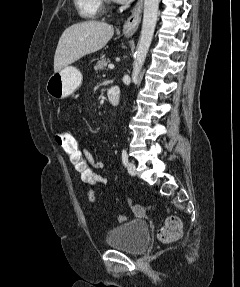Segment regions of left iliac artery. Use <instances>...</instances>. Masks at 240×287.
Instances as JSON below:
<instances>
[{
	"label": "left iliac artery",
	"instance_id": "44dca946",
	"mask_svg": "<svg viewBox=\"0 0 240 287\" xmlns=\"http://www.w3.org/2000/svg\"><path fill=\"white\" fill-rule=\"evenodd\" d=\"M122 162L123 164L126 166L127 163H128V155H127V152L126 150L123 149L122 151Z\"/></svg>",
	"mask_w": 240,
	"mask_h": 287
}]
</instances>
